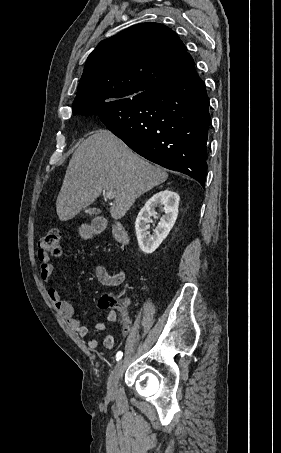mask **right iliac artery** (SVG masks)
Wrapping results in <instances>:
<instances>
[{
  "label": "right iliac artery",
  "instance_id": "1",
  "mask_svg": "<svg viewBox=\"0 0 281 453\" xmlns=\"http://www.w3.org/2000/svg\"><path fill=\"white\" fill-rule=\"evenodd\" d=\"M123 356V353L121 351H119L117 354H116V360L119 361Z\"/></svg>",
  "mask_w": 281,
  "mask_h": 453
}]
</instances>
